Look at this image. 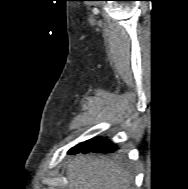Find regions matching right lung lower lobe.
I'll list each match as a JSON object with an SVG mask.
<instances>
[{
	"mask_svg": "<svg viewBox=\"0 0 188 189\" xmlns=\"http://www.w3.org/2000/svg\"><path fill=\"white\" fill-rule=\"evenodd\" d=\"M116 149H117V145L108 141V139L102 137H96L76 145L75 147L69 150V153L70 154H77L80 152L110 153V152H115Z\"/></svg>",
	"mask_w": 188,
	"mask_h": 189,
	"instance_id": "98d812e1",
	"label": "right lung lower lobe"
}]
</instances>
